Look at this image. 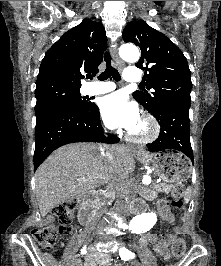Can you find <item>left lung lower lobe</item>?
Listing matches in <instances>:
<instances>
[{
    "mask_svg": "<svg viewBox=\"0 0 221 266\" xmlns=\"http://www.w3.org/2000/svg\"><path fill=\"white\" fill-rule=\"evenodd\" d=\"M154 117L160 124L161 130L159 137L147 145L149 150L181 152L194 161L190 143L189 107L168 105Z\"/></svg>",
    "mask_w": 221,
    "mask_h": 266,
    "instance_id": "obj_1",
    "label": "left lung lower lobe"
}]
</instances>
